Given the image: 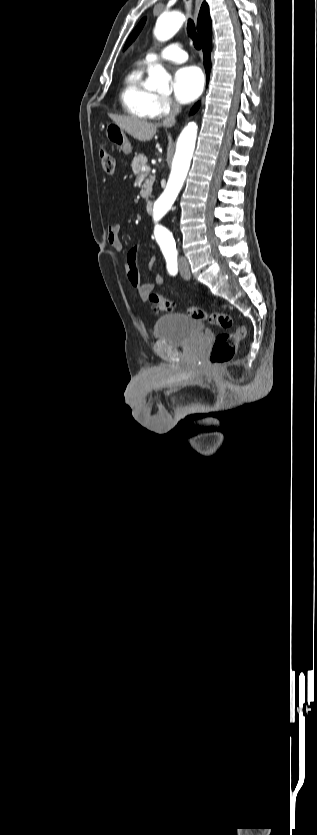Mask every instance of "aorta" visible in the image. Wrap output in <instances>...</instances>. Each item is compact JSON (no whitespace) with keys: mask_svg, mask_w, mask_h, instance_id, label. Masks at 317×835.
Instances as JSON below:
<instances>
[{"mask_svg":"<svg viewBox=\"0 0 317 835\" xmlns=\"http://www.w3.org/2000/svg\"><path fill=\"white\" fill-rule=\"evenodd\" d=\"M184 21V15L178 10L161 13L156 20L154 35L160 42L171 39L180 29ZM171 75L160 64L148 68V78L144 85L147 89L167 91ZM197 138V125L189 123L180 133L176 151L172 162L171 173L166 188L154 205L153 219L159 222L156 228L155 237L161 241H167L173 246L174 239L168 228L162 223L166 213L174 203L189 171Z\"/></svg>","mask_w":317,"mask_h":835,"instance_id":"762f6f07","label":"aorta"}]
</instances>
